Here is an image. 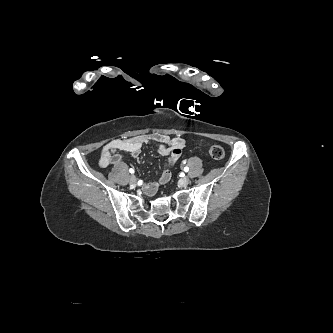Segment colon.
Listing matches in <instances>:
<instances>
[{
  "instance_id": "5ec220e1",
  "label": "colon",
  "mask_w": 333,
  "mask_h": 333,
  "mask_svg": "<svg viewBox=\"0 0 333 333\" xmlns=\"http://www.w3.org/2000/svg\"><path fill=\"white\" fill-rule=\"evenodd\" d=\"M208 152L210 156L215 160H221L225 156L224 149L219 145L210 146Z\"/></svg>"
}]
</instances>
